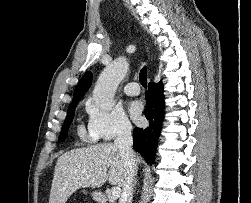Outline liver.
<instances>
[{
    "mask_svg": "<svg viewBox=\"0 0 251 203\" xmlns=\"http://www.w3.org/2000/svg\"><path fill=\"white\" fill-rule=\"evenodd\" d=\"M141 160L135 155L136 164ZM125 176L124 161L112 143L65 152L56 162L49 203H66L77 189L99 188L107 180L111 185L122 187Z\"/></svg>",
    "mask_w": 251,
    "mask_h": 203,
    "instance_id": "6515ba94",
    "label": "liver"
}]
</instances>
